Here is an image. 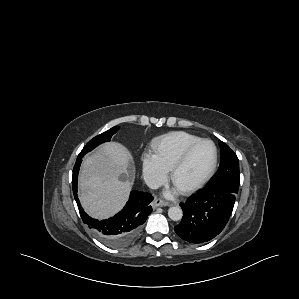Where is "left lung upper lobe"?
I'll return each instance as SVG.
<instances>
[{"instance_id":"obj_1","label":"left lung upper lobe","mask_w":299,"mask_h":299,"mask_svg":"<svg viewBox=\"0 0 299 299\" xmlns=\"http://www.w3.org/2000/svg\"><path fill=\"white\" fill-rule=\"evenodd\" d=\"M219 145L221 148L220 166L207 185L228 184L239 188V160L227 144L220 140Z\"/></svg>"}]
</instances>
